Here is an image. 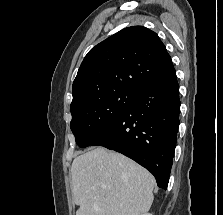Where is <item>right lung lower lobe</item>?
I'll list each match as a JSON object with an SVG mask.
<instances>
[{
	"instance_id": "98d812e1",
	"label": "right lung lower lobe",
	"mask_w": 223,
	"mask_h": 215,
	"mask_svg": "<svg viewBox=\"0 0 223 215\" xmlns=\"http://www.w3.org/2000/svg\"><path fill=\"white\" fill-rule=\"evenodd\" d=\"M179 85L174 75L137 94L116 124L91 146H103L133 159L166 190L179 126Z\"/></svg>"
}]
</instances>
